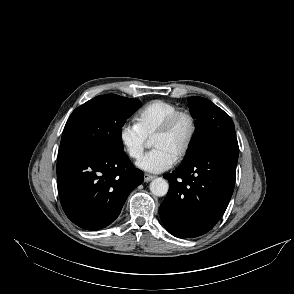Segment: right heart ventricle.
<instances>
[{"label": "right heart ventricle", "mask_w": 294, "mask_h": 294, "mask_svg": "<svg viewBox=\"0 0 294 294\" xmlns=\"http://www.w3.org/2000/svg\"><path fill=\"white\" fill-rule=\"evenodd\" d=\"M180 108L168 101L153 100L136 114V124L147 138H151L163 121Z\"/></svg>", "instance_id": "obj_1"}]
</instances>
